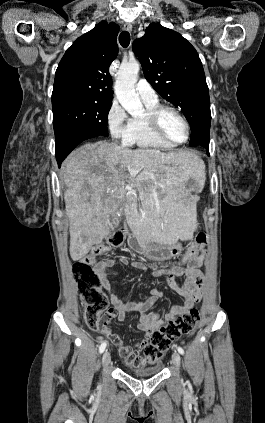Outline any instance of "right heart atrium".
Listing matches in <instances>:
<instances>
[{
	"label": "right heart atrium",
	"mask_w": 265,
	"mask_h": 423,
	"mask_svg": "<svg viewBox=\"0 0 265 423\" xmlns=\"http://www.w3.org/2000/svg\"><path fill=\"white\" fill-rule=\"evenodd\" d=\"M129 117L118 101L113 100L106 115V122L113 139L124 140Z\"/></svg>",
	"instance_id": "obj_1"
}]
</instances>
